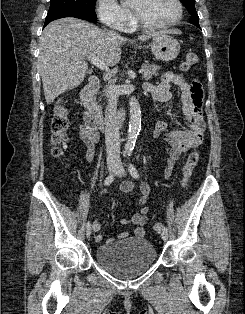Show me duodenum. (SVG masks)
<instances>
[{
	"instance_id": "obj_1",
	"label": "duodenum",
	"mask_w": 245,
	"mask_h": 314,
	"mask_svg": "<svg viewBox=\"0 0 245 314\" xmlns=\"http://www.w3.org/2000/svg\"><path fill=\"white\" fill-rule=\"evenodd\" d=\"M99 83V78L96 75L90 76L88 83L81 89L80 100L83 106L86 108V114L91 119L94 126L104 131L106 119L103 116L102 111L94 98V94L98 89ZM127 111L128 109L125 105H122L119 108L115 117V124L118 128L123 126Z\"/></svg>"
}]
</instances>
